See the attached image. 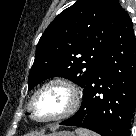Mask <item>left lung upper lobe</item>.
<instances>
[{"instance_id": "5c2ea615", "label": "left lung upper lobe", "mask_w": 136, "mask_h": 136, "mask_svg": "<svg viewBox=\"0 0 136 136\" xmlns=\"http://www.w3.org/2000/svg\"><path fill=\"white\" fill-rule=\"evenodd\" d=\"M126 16L116 0H78L62 11L38 42L29 89L54 76L84 88Z\"/></svg>"}]
</instances>
